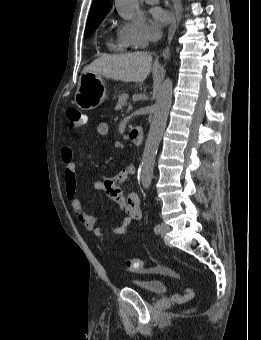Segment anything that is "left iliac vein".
I'll return each instance as SVG.
<instances>
[{
	"label": "left iliac vein",
	"mask_w": 261,
	"mask_h": 340,
	"mask_svg": "<svg viewBox=\"0 0 261 340\" xmlns=\"http://www.w3.org/2000/svg\"><path fill=\"white\" fill-rule=\"evenodd\" d=\"M160 227H161V229L157 233L160 234L161 236H165L170 230L169 226L166 225L165 223H161Z\"/></svg>",
	"instance_id": "4c4485c4"
}]
</instances>
